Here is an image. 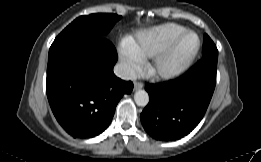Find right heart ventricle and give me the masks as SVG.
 Returning a JSON list of instances; mask_svg holds the SVG:
<instances>
[{"instance_id":"obj_1","label":"right heart ventricle","mask_w":261,"mask_h":162,"mask_svg":"<svg viewBox=\"0 0 261 162\" xmlns=\"http://www.w3.org/2000/svg\"><path fill=\"white\" fill-rule=\"evenodd\" d=\"M184 31V26L175 23L158 25L136 33L128 41V46L141 59L151 58Z\"/></svg>"}]
</instances>
